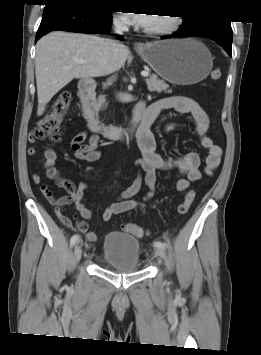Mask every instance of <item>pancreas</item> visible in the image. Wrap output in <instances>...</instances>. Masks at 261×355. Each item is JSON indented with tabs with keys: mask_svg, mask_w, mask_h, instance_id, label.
<instances>
[{
	"mask_svg": "<svg viewBox=\"0 0 261 355\" xmlns=\"http://www.w3.org/2000/svg\"><path fill=\"white\" fill-rule=\"evenodd\" d=\"M147 89L150 92L161 93L162 91L166 93H171L172 90H169V85L166 84L163 80L157 78L156 75H152L149 79H146ZM105 96L101 95L95 102L96 108L99 110L105 104Z\"/></svg>",
	"mask_w": 261,
	"mask_h": 355,
	"instance_id": "obj_1",
	"label": "pancreas"
}]
</instances>
